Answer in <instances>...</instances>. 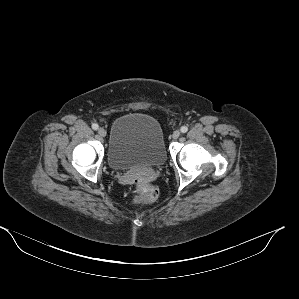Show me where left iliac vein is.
Wrapping results in <instances>:
<instances>
[{
    "label": "left iliac vein",
    "instance_id": "left-iliac-vein-1",
    "mask_svg": "<svg viewBox=\"0 0 299 299\" xmlns=\"http://www.w3.org/2000/svg\"><path fill=\"white\" fill-rule=\"evenodd\" d=\"M181 135V132L179 130H175L172 134L173 139H178Z\"/></svg>",
    "mask_w": 299,
    "mask_h": 299
}]
</instances>
